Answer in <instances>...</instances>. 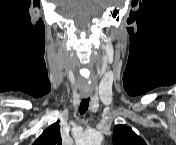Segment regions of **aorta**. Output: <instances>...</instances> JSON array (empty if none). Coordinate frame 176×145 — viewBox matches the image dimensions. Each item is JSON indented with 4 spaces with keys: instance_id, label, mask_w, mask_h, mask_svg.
<instances>
[{
    "instance_id": "obj_1",
    "label": "aorta",
    "mask_w": 176,
    "mask_h": 145,
    "mask_svg": "<svg viewBox=\"0 0 176 145\" xmlns=\"http://www.w3.org/2000/svg\"><path fill=\"white\" fill-rule=\"evenodd\" d=\"M103 136L96 130H90L84 133L82 143L83 145H100Z\"/></svg>"
}]
</instances>
